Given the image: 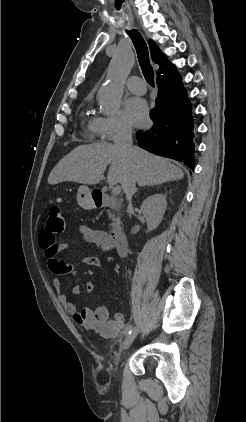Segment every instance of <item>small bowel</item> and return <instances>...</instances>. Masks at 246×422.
I'll use <instances>...</instances> for the list:
<instances>
[{
    "label": "small bowel",
    "mask_w": 246,
    "mask_h": 422,
    "mask_svg": "<svg viewBox=\"0 0 246 422\" xmlns=\"http://www.w3.org/2000/svg\"><path fill=\"white\" fill-rule=\"evenodd\" d=\"M78 234L83 241L96 244L105 251L113 248L110 236L103 230L80 226ZM39 245L44 250L48 269L53 274L52 285L57 290L58 299L65 310L73 317L74 321L78 325L89 330H95L104 336H117L125 326V317L123 314L117 313L114 318H111L109 311L104 306H96L94 308L85 307L79 310L62 291L60 275L73 272L74 268L59 259L58 254L61 251L69 250V245L57 242L55 233L51 232L47 227L39 234ZM81 264L98 267L101 265V261L96 256H89L84 258ZM86 287L91 292L95 290L96 283L88 282ZM78 292L79 286L75 285L73 287V293L77 294Z\"/></svg>",
    "instance_id": "obj_1"
}]
</instances>
